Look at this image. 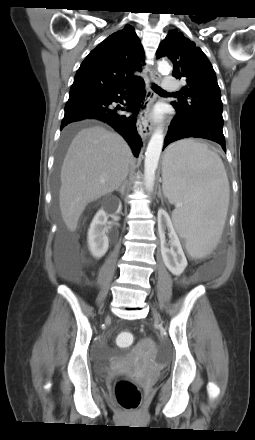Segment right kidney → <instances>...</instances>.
Returning a JSON list of instances; mask_svg holds the SVG:
<instances>
[{
    "label": "right kidney",
    "instance_id": "1",
    "mask_svg": "<svg viewBox=\"0 0 255 440\" xmlns=\"http://www.w3.org/2000/svg\"><path fill=\"white\" fill-rule=\"evenodd\" d=\"M121 208L122 205L119 202L116 214L120 213ZM107 219L106 212L100 209L94 216L88 230V246L95 258L103 257L109 247L108 237L105 235Z\"/></svg>",
    "mask_w": 255,
    "mask_h": 440
}]
</instances>
